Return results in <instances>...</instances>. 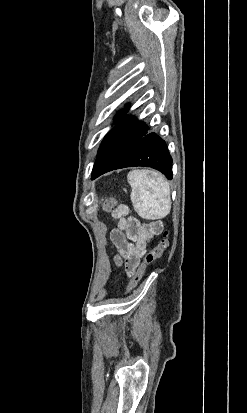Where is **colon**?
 <instances>
[{"label": "colon", "instance_id": "obj_1", "mask_svg": "<svg viewBox=\"0 0 247 413\" xmlns=\"http://www.w3.org/2000/svg\"><path fill=\"white\" fill-rule=\"evenodd\" d=\"M116 208V201L111 198H106L103 202V209L105 211H111ZM119 214V213H118ZM169 248V233L164 232L163 237L158 245L151 248L143 256V265L138 266V272H135V276L131 277L126 293L133 290L140 280L141 272L146 271L148 264L150 265L156 258L160 257Z\"/></svg>", "mask_w": 247, "mask_h": 413}]
</instances>
